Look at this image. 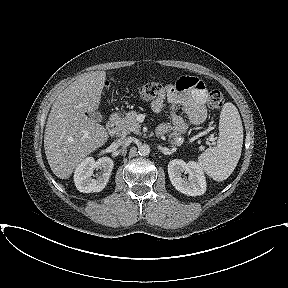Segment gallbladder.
Masks as SVG:
<instances>
[{"mask_svg":"<svg viewBox=\"0 0 288 288\" xmlns=\"http://www.w3.org/2000/svg\"><path fill=\"white\" fill-rule=\"evenodd\" d=\"M89 116L96 122H102V115L98 111H93L89 113Z\"/></svg>","mask_w":288,"mask_h":288,"instance_id":"1","label":"gallbladder"}]
</instances>
